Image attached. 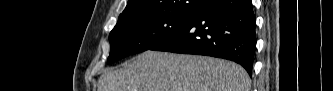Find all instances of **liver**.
Returning a JSON list of instances; mask_svg holds the SVG:
<instances>
[{
  "mask_svg": "<svg viewBox=\"0 0 333 91\" xmlns=\"http://www.w3.org/2000/svg\"><path fill=\"white\" fill-rule=\"evenodd\" d=\"M243 67L217 58L145 51L103 73L98 91H250Z\"/></svg>",
  "mask_w": 333,
  "mask_h": 91,
  "instance_id": "liver-1",
  "label": "liver"
}]
</instances>
